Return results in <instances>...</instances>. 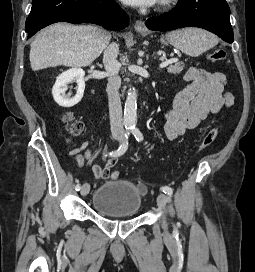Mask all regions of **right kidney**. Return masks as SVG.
<instances>
[{
    "instance_id": "right-kidney-1",
    "label": "right kidney",
    "mask_w": 255,
    "mask_h": 272,
    "mask_svg": "<svg viewBox=\"0 0 255 272\" xmlns=\"http://www.w3.org/2000/svg\"><path fill=\"white\" fill-rule=\"evenodd\" d=\"M85 72L81 68H72L62 74H60L52 88V95L55 102L65 108H70L79 103L83 97L85 90L84 81ZM76 81L77 82V92L76 95L71 97V95L66 94L67 84Z\"/></svg>"
}]
</instances>
